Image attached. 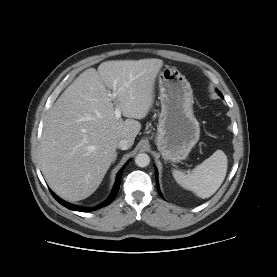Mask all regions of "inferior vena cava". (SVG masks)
<instances>
[{
    "mask_svg": "<svg viewBox=\"0 0 277 277\" xmlns=\"http://www.w3.org/2000/svg\"><path fill=\"white\" fill-rule=\"evenodd\" d=\"M117 147L119 149H122V150H127L128 148L131 147V144L128 140L126 139H121L118 143H117Z\"/></svg>",
    "mask_w": 277,
    "mask_h": 277,
    "instance_id": "obj_1",
    "label": "inferior vena cava"
}]
</instances>
